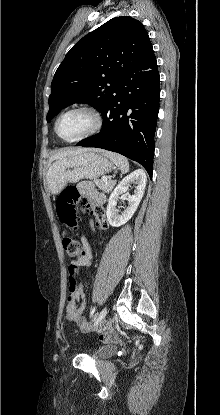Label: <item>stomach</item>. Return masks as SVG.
Listing matches in <instances>:
<instances>
[{"label":"stomach","mask_w":220,"mask_h":415,"mask_svg":"<svg viewBox=\"0 0 220 415\" xmlns=\"http://www.w3.org/2000/svg\"><path fill=\"white\" fill-rule=\"evenodd\" d=\"M114 165L94 151L66 156L54 162L47 171L46 180L52 194L60 193L68 182L97 179L111 172Z\"/></svg>","instance_id":"1"}]
</instances>
